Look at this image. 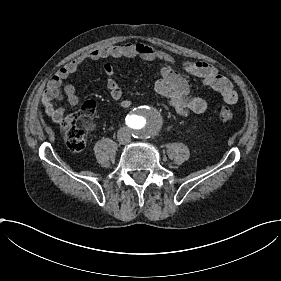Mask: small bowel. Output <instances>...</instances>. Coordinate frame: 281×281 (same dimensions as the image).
<instances>
[{"label": "small bowel", "instance_id": "obj_1", "mask_svg": "<svg viewBox=\"0 0 281 281\" xmlns=\"http://www.w3.org/2000/svg\"><path fill=\"white\" fill-rule=\"evenodd\" d=\"M106 58H138L162 62L159 78L154 83L155 91L168 97L175 112L182 118H187L192 113H203L207 109V103L203 98L191 95L186 75L200 78L220 92L227 105H235L238 101L237 92L231 81L221 75L213 65L206 62L186 60L182 65L183 72H180L174 69V58L170 54L141 42H127L92 49L78 59L71 61L52 78L46 87L42 106L56 125L63 124L67 119L65 109L57 106L61 99L59 90L61 82L78 72L82 67ZM103 73L106 77V89L110 97L119 102L122 108H129L132 101L123 98V91L114 78V67L105 64ZM62 91L70 105L76 106L79 103V97L73 84H66Z\"/></svg>", "mask_w": 281, "mask_h": 281}]
</instances>
